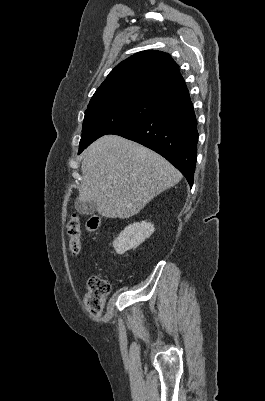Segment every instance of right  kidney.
<instances>
[{
	"mask_svg": "<svg viewBox=\"0 0 265 401\" xmlns=\"http://www.w3.org/2000/svg\"><path fill=\"white\" fill-rule=\"evenodd\" d=\"M154 231L152 223H146V221L132 223V225H128L124 231L119 233V237L114 241L113 247L118 255H123L125 251L139 247L141 243H144L145 239H149L153 235Z\"/></svg>",
	"mask_w": 265,
	"mask_h": 401,
	"instance_id": "obj_1",
	"label": "right kidney"
}]
</instances>
